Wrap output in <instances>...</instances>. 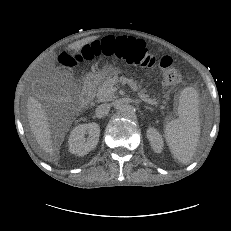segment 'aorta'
<instances>
[{
	"label": "aorta",
	"instance_id": "1",
	"mask_svg": "<svg viewBox=\"0 0 231 231\" xmlns=\"http://www.w3.org/2000/svg\"><path fill=\"white\" fill-rule=\"evenodd\" d=\"M121 114L125 118H131L135 115V108L132 105H123L121 107Z\"/></svg>",
	"mask_w": 231,
	"mask_h": 231
}]
</instances>
